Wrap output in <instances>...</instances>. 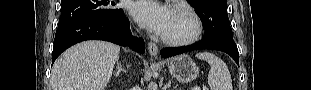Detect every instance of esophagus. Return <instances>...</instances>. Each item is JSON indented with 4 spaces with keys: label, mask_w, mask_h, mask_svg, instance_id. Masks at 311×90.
<instances>
[{
    "label": "esophagus",
    "mask_w": 311,
    "mask_h": 90,
    "mask_svg": "<svg viewBox=\"0 0 311 90\" xmlns=\"http://www.w3.org/2000/svg\"><path fill=\"white\" fill-rule=\"evenodd\" d=\"M148 51H149L151 56L155 57L158 54V46L153 42H149L148 43Z\"/></svg>",
    "instance_id": "obj_1"
}]
</instances>
